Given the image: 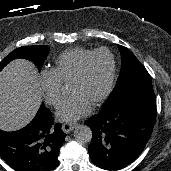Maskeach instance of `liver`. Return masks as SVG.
I'll use <instances>...</instances> for the list:
<instances>
[{"instance_id": "obj_1", "label": "liver", "mask_w": 171, "mask_h": 171, "mask_svg": "<svg viewBox=\"0 0 171 171\" xmlns=\"http://www.w3.org/2000/svg\"><path fill=\"white\" fill-rule=\"evenodd\" d=\"M42 85L34 65L16 59L0 72V129L18 130L35 116L42 101Z\"/></svg>"}]
</instances>
